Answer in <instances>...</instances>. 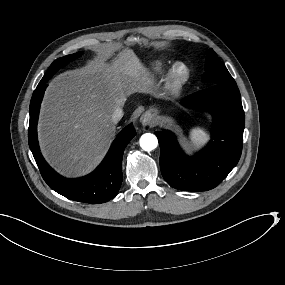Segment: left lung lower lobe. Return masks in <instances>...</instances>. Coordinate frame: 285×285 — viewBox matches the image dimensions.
Listing matches in <instances>:
<instances>
[{
  "label": "left lung lower lobe",
  "instance_id": "1",
  "mask_svg": "<svg viewBox=\"0 0 285 285\" xmlns=\"http://www.w3.org/2000/svg\"><path fill=\"white\" fill-rule=\"evenodd\" d=\"M182 104L213 112L212 138L202 151L189 157L172 132L156 131L161 173L173 188L207 191L219 185L240 159L245 124L240 92L236 83L214 84L187 96Z\"/></svg>",
  "mask_w": 285,
  "mask_h": 285
}]
</instances>
